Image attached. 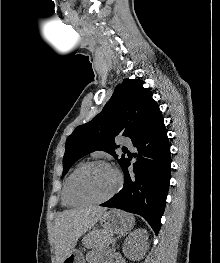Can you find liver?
<instances>
[{
  "mask_svg": "<svg viewBox=\"0 0 220 263\" xmlns=\"http://www.w3.org/2000/svg\"><path fill=\"white\" fill-rule=\"evenodd\" d=\"M106 208L89 206L60 213L54 221L53 237L56 263H63L78 239L90 230Z\"/></svg>",
  "mask_w": 220,
  "mask_h": 263,
  "instance_id": "obj_1",
  "label": "liver"
}]
</instances>
